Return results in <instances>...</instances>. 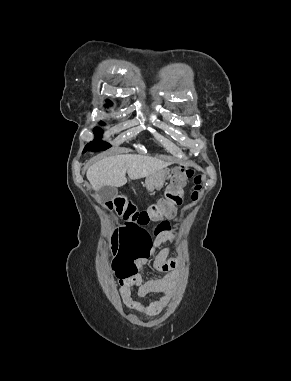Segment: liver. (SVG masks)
I'll return each mask as SVG.
<instances>
[{"label":"liver","instance_id":"obj_1","mask_svg":"<svg viewBox=\"0 0 291 381\" xmlns=\"http://www.w3.org/2000/svg\"><path fill=\"white\" fill-rule=\"evenodd\" d=\"M169 162L161 159L136 155L121 154L105 157L94 163L87 171V179L97 191L103 186L121 187L127 183L126 172L130 179L149 177L163 170Z\"/></svg>","mask_w":291,"mask_h":381}]
</instances>
